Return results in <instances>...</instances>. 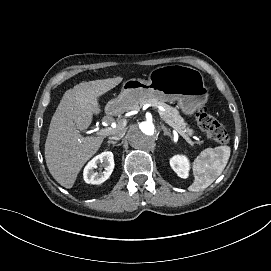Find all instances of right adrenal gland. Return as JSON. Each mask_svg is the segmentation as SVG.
<instances>
[{"label": "right adrenal gland", "instance_id": "right-adrenal-gland-1", "mask_svg": "<svg viewBox=\"0 0 271 271\" xmlns=\"http://www.w3.org/2000/svg\"><path fill=\"white\" fill-rule=\"evenodd\" d=\"M109 144H112V145H114V144H117V141H107V145H109Z\"/></svg>", "mask_w": 271, "mask_h": 271}]
</instances>
